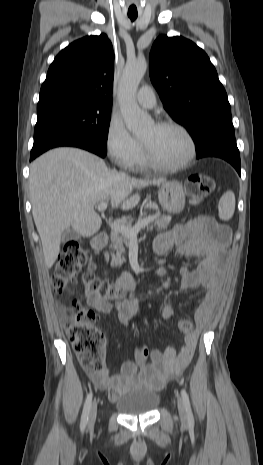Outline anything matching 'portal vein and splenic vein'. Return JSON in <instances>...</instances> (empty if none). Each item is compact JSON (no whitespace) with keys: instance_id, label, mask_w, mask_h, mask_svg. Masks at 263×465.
I'll list each match as a JSON object with an SVG mask.
<instances>
[{"instance_id":"1","label":"portal vein and splenic vein","mask_w":263,"mask_h":465,"mask_svg":"<svg viewBox=\"0 0 263 465\" xmlns=\"http://www.w3.org/2000/svg\"><path fill=\"white\" fill-rule=\"evenodd\" d=\"M107 209V203L106 202H101L97 205V210L99 212H103ZM155 219L154 216L148 217L140 222H138L133 228H128L123 224L119 223H112L110 222V227L113 231L115 232H121L125 236L129 237L130 239H136L138 232L141 230V228H144L148 224H150L153 220Z\"/></svg>"}]
</instances>
